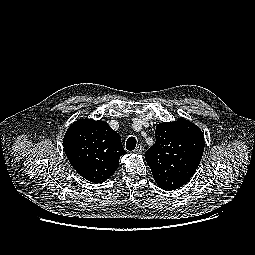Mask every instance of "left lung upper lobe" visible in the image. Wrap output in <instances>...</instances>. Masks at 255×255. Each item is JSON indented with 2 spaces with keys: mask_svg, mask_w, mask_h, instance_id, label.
Listing matches in <instances>:
<instances>
[{
  "mask_svg": "<svg viewBox=\"0 0 255 255\" xmlns=\"http://www.w3.org/2000/svg\"><path fill=\"white\" fill-rule=\"evenodd\" d=\"M155 136V144L145 153L146 162L161 189H178L198 168L204 152V135L198 126L179 118L158 124Z\"/></svg>",
  "mask_w": 255,
  "mask_h": 255,
  "instance_id": "1",
  "label": "left lung upper lobe"
}]
</instances>
